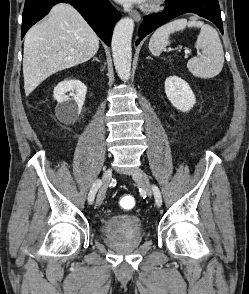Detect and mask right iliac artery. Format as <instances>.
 I'll list each match as a JSON object with an SVG mask.
<instances>
[{
	"instance_id": "82829eb1",
	"label": "right iliac artery",
	"mask_w": 249,
	"mask_h": 294,
	"mask_svg": "<svg viewBox=\"0 0 249 294\" xmlns=\"http://www.w3.org/2000/svg\"><path fill=\"white\" fill-rule=\"evenodd\" d=\"M102 185V181L101 180H96L95 183L93 184L90 192H89V195H88V202L90 204L93 203L94 201V198H95V195H96V192L97 190L100 188V186Z\"/></svg>"
}]
</instances>
